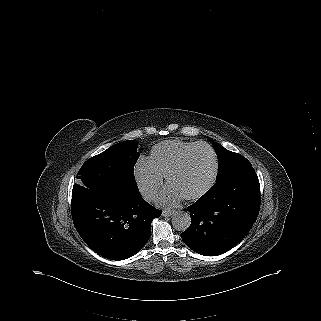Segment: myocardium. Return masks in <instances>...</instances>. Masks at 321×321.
I'll return each mask as SVG.
<instances>
[{
	"mask_svg": "<svg viewBox=\"0 0 321 321\" xmlns=\"http://www.w3.org/2000/svg\"><path fill=\"white\" fill-rule=\"evenodd\" d=\"M199 148H206L208 149L213 157V173L212 176L210 178V180L208 181V183L203 186L201 189H199L198 191L192 193V194H187V195H183V198H185L186 200H194L197 198H200L201 196H203L205 193H207L215 184L216 180H217V176H218V170H219V164H218V158L216 155L215 150L206 143H198L197 145H195L192 149H190L186 155L184 157H182L171 169L170 171L167 173L166 175V183L168 184V186H170L171 184V179L178 174L188 163V161L190 160L192 154Z\"/></svg>",
	"mask_w": 321,
	"mask_h": 321,
	"instance_id": "obj_1",
	"label": "myocardium"
}]
</instances>
